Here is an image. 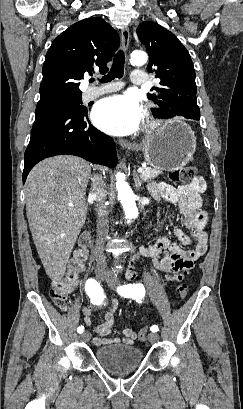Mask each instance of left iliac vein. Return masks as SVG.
Segmentation results:
<instances>
[{"label": "left iliac vein", "mask_w": 243, "mask_h": 409, "mask_svg": "<svg viewBox=\"0 0 243 409\" xmlns=\"http://www.w3.org/2000/svg\"><path fill=\"white\" fill-rule=\"evenodd\" d=\"M106 282L108 286L114 290L120 285L119 280L114 275H111V274L107 276ZM158 339H159V336L157 333L152 332L148 335V340L151 343L157 342Z\"/></svg>", "instance_id": "4c4485c4"}]
</instances>
